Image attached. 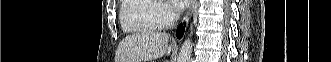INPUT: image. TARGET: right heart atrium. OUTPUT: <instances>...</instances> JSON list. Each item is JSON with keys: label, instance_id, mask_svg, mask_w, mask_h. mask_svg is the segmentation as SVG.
I'll use <instances>...</instances> for the list:
<instances>
[{"label": "right heart atrium", "instance_id": "obj_1", "mask_svg": "<svg viewBox=\"0 0 331 62\" xmlns=\"http://www.w3.org/2000/svg\"><path fill=\"white\" fill-rule=\"evenodd\" d=\"M153 5L151 21L156 28H162L170 24L175 18L176 13L171 6L162 1H149Z\"/></svg>", "mask_w": 331, "mask_h": 62}]
</instances>
